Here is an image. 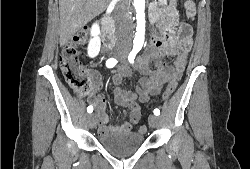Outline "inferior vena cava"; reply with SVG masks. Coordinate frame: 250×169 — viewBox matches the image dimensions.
Masks as SVG:
<instances>
[{"instance_id":"602c4592","label":"inferior vena cava","mask_w":250,"mask_h":169,"mask_svg":"<svg viewBox=\"0 0 250 169\" xmlns=\"http://www.w3.org/2000/svg\"><path fill=\"white\" fill-rule=\"evenodd\" d=\"M131 0H120L121 10L116 14V24H117V32L121 34V32H126V30H130L131 28V16L129 14L128 6H130Z\"/></svg>"}]
</instances>
